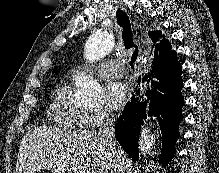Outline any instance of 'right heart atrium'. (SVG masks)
<instances>
[{
    "instance_id": "obj_1",
    "label": "right heart atrium",
    "mask_w": 219,
    "mask_h": 173,
    "mask_svg": "<svg viewBox=\"0 0 219 173\" xmlns=\"http://www.w3.org/2000/svg\"><path fill=\"white\" fill-rule=\"evenodd\" d=\"M113 113L111 110L100 107L97 110L86 113L85 122L89 128H97L104 123H107L113 119Z\"/></svg>"
}]
</instances>
